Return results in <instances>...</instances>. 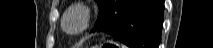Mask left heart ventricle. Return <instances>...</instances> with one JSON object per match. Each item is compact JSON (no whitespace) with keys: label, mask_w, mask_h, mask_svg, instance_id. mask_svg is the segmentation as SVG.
Returning a JSON list of instances; mask_svg holds the SVG:
<instances>
[{"label":"left heart ventricle","mask_w":213,"mask_h":48,"mask_svg":"<svg viewBox=\"0 0 213 48\" xmlns=\"http://www.w3.org/2000/svg\"><path fill=\"white\" fill-rule=\"evenodd\" d=\"M66 28L69 31H76L81 27V18L80 15L76 12L70 14L66 19Z\"/></svg>","instance_id":"b2bd125f"}]
</instances>
